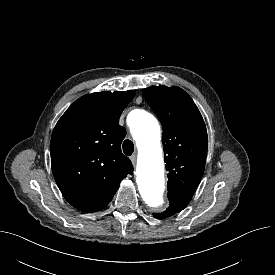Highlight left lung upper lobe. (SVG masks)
Here are the masks:
<instances>
[{"label":"left lung upper lobe","mask_w":275,"mask_h":275,"mask_svg":"<svg viewBox=\"0 0 275 275\" xmlns=\"http://www.w3.org/2000/svg\"><path fill=\"white\" fill-rule=\"evenodd\" d=\"M143 93L163 127L168 196H193L207 156L208 137L202 115L179 87L152 86Z\"/></svg>","instance_id":"obj_1"}]
</instances>
